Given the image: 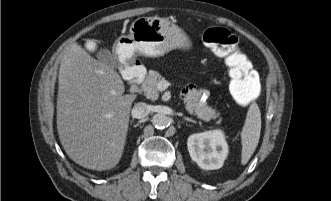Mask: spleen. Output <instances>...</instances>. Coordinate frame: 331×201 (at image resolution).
I'll use <instances>...</instances> for the list:
<instances>
[{
  "instance_id": "3e777b00",
  "label": "spleen",
  "mask_w": 331,
  "mask_h": 201,
  "mask_svg": "<svg viewBox=\"0 0 331 201\" xmlns=\"http://www.w3.org/2000/svg\"><path fill=\"white\" fill-rule=\"evenodd\" d=\"M261 113L257 104L253 103L249 107L245 123L241 132V163L247 164L254 153L260 138Z\"/></svg>"
}]
</instances>
